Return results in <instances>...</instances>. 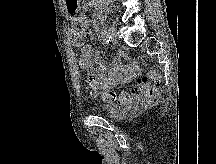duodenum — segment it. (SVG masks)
<instances>
[{
	"instance_id": "1",
	"label": "duodenum",
	"mask_w": 216,
	"mask_h": 164,
	"mask_svg": "<svg viewBox=\"0 0 216 164\" xmlns=\"http://www.w3.org/2000/svg\"><path fill=\"white\" fill-rule=\"evenodd\" d=\"M91 1H92V0H87V3H91ZM88 5H90V4H88Z\"/></svg>"
}]
</instances>
